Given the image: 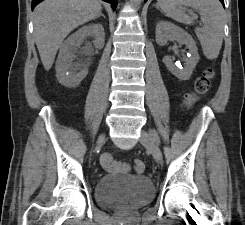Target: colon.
Segmentation results:
<instances>
[{"label": "colon", "mask_w": 245, "mask_h": 225, "mask_svg": "<svg viewBox=\"0 0 245 225\" xmlns=\"http://www.w3.org/2000/svg\"><path fill=\"white\" fill-rule=\"evenodd\" d=\"M213 76L214 72L212 69H206L203 72L202 76L195 83L194 91L185 94L184 101L187 106H192L201 96L209 91ZM101 165L107 171H114L127 166L124 163L115 161L109 154H104L101 157ZM129 167L135 173H142L145 169L144 163L140 160L132 161Z\"/></svg>", "instance_id": "obj_1"}]
</instances>
